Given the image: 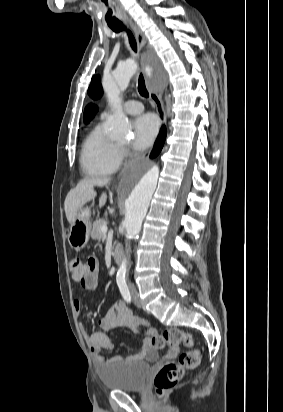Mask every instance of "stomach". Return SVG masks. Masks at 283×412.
<instances>
[{
  "mask_svg": "<svg viewBox=\"0 0 283 412\" xmlns=\"http://www.w3.org/2000/svg\"><path fill=\"white\" fill-rule=\"evenodd\" d=\"M90 218L91 210L89 207H82L78 210L68 234V242L73 249L79 250L88 243L91 231Z\"/></svg>",
  "mask_w": 283,
  "mask_h": 412,
  "instance_id": "0dacf381",
  "label": "stomach"
}]
</instances>
